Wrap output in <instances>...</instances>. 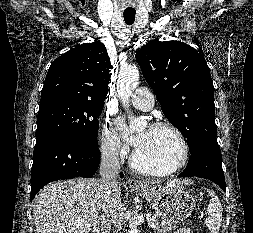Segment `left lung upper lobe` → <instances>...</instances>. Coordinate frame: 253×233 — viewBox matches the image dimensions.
Returning a JSON list of instances; mask_svg holds the SVG:
<instances>
[{
  "instance_id": "obj_1",
  "label": "left lung upper lobe",
  "mask_w": 253,
  "mask_h": 233,
  "mask_svg": "<svg viewBox=\"0 0 253 233\" xmlns=\"http://www.w3.org/2000/svg\"><path fill=\"white\" fill-rule=\"evenodd\" d=\"M136 60L190 152L201 144L218 146L214 86L201 53L183 42L152 40L136 52Z\"/></svg>"
}]
</instances>
